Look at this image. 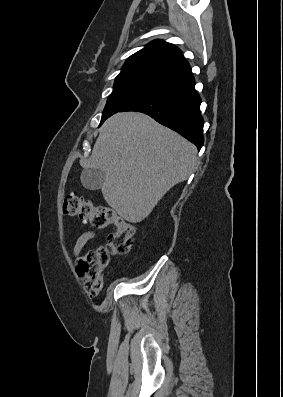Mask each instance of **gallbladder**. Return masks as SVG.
<instances>
[{
  "instance_id": "1",
  "label": "gallbladder",
  "mask_w": 283,
  "mask_h": 397,
  "mask_svg": "<svg viewBox=\"0 0 283 397\" xmlns=\"http://www.w3.org/2000/svg\"><path fill=\"white\" fill-rule=\"evenodd\" d=\"M80 179L86 189L98 190L105 179V173L101 169L87 168L82 171Z\"/></svg>"
}]
</instances>
